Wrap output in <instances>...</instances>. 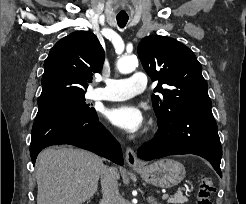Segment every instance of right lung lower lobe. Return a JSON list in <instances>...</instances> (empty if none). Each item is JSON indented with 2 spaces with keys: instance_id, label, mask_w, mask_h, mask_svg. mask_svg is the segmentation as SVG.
Masks as SVG:
<instances>
[{
  "instance_id": "right-lung-lower-lobe-1",
  "label": "right lung lower lobe",
  "mask_w": 246,
  "mask_h": 204,
  "mask_svg": "<svg viewBox=\"0 0 246 204\" xmlns=\"http://www.w3.org/2000/svg\"><path fill=\"white\" fill-rule=\"evenodd\" d=\"M59 144L74 145L123 165L121 147L98 121L96 111L84 114L69 107L41 105L32 128L33 164L43 148Z\"/></svg>"
}]
</instances>
